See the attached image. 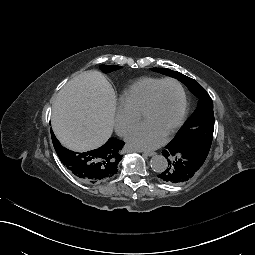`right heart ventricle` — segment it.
<instances>
[{"label": "right heart ventricle", "instance_id": "1", "mask_svg": "<svg viewBox=\"0 0 255 255\" xmlns=\"http://www.w3.org/2000/svg\"><path fill=\"white\" fill-rule=\"evenodd\" d=\"M161 80L155 77L137 80L118 95L119 106L140 115L151 89Z\"/></svg>", "mask_w": 255, "mask_h": 255}]
</instances>
